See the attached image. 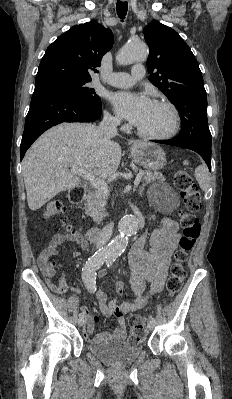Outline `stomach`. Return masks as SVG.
I'll return each mask as SVG.
<instances>
[{"label":"stomach","mask_w":232,"mask_h":399,"mask_svg":"<svg viewBox=\"0 0 232 399\" xmlns=\"http://www.w3.org/2000/svg\"><path fill=\"white\" fill-rule=\"evenodd\" d=\"M131 158L134 164L146 170H161L166 166V156L160 146L149 142H134L131 148Z\"/></svg>","instance_id":"1"}]
</instances>
